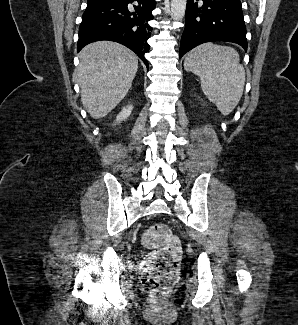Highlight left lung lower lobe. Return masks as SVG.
<instances>
[{"mask_svg": "<svg viewBox=\"0 0 298 325\" xmlns=\"http://www.w3.org/2000/svg\"><path fill=\"white\" fill-rule=\"evenodd\" d=\"M187 0L185 29L179 57L192 48L212 41H228L247 51L246 26L240 0Z\"/></svg>", "mask_w": 298, "mask_h": 325, "instance_id": "0a47b994", "label": "left lung lower lobe"}]
</instances>
